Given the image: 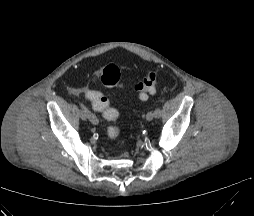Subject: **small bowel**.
I'll list each match as a JSON object with an SVG mask.
<instances>
[{
    "label": "small bowel",
    "mask_w": 254,
    "mask_h": 216,
    "mask_svg": "<svg viewBox=\"0 0 254 216\" xmlns=\"http://www.w3.org/2000/svg\"><path fill=\"white\" fill-rule=\"evenodd\" d=\"M69 90H70V92L73 93V94H78V93H79V90H78V89H75V88H70ZM90 101H91V100H90ZM91 102H92V101H91ZM92 105H93V103H92ZM93 108H94L96 111H101L100 109H97V108H95L94 106H93Z\"/></svg>",
    "instance_id": "c3829d8e"
}]
</instances>
